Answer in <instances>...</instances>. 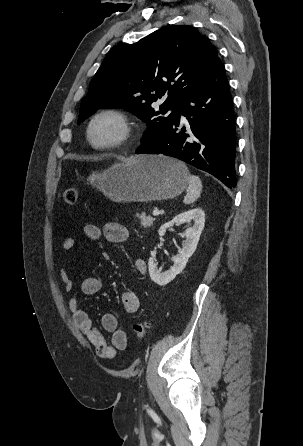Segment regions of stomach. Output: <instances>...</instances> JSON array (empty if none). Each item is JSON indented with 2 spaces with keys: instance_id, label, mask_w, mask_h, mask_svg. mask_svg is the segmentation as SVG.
Listing matches in <instances>:
<instances>
[{
  "instance_id": "1",
  "label": "stomach",
  "mask_w": 303,
  "mask_h": 446,
  "mask_svg": "<svg viewBox=\"0 0 303 446\" xmlns=\"http://www.w3.org/2000/svg\"><path fill=\"white\" fill-rule=\"evenodd\" d=\"M186 165L163 155H143L117 163L102 173L93 172L90 183L114 202L170 199L189 184Z\"/></svg>"
}]
</instances>
